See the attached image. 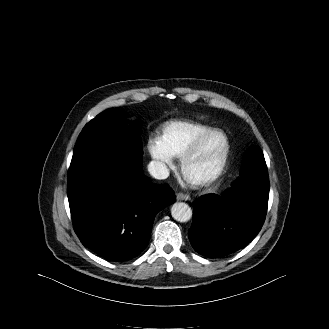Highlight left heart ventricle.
Returning <instances> with one entry per match:
<instances>
[{
    "label": "left heart ventricle",
    "instance_id": "left-heart-ventricle-1",
    "mask_svg": "<svg viewBox=\"0 0 329 329\" xmlns=\"http://www.w3.org/2000/svg\"><path fill=\"white\" fill-rule=\"evenodd\" d=\"M225 147L221 134H214L202 145L198 154L189 162L187 174L194 179L210 175L219 165Z\"/></svg>",
    "mask_w": 329,
    "mask_h": 329
}]
</instances>
